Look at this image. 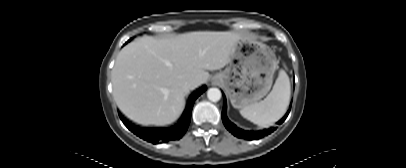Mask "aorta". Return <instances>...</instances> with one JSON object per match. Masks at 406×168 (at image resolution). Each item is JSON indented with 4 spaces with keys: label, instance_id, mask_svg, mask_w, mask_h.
Returning a JSON list of instances; mask_svg holds the SVG:
<instances>
[{
    "label": "aorta",
    "instance_id": "obj_1",
    "mask_svg": "<svg viewBox=\"0 0 406 168\" xmlns=\"http://www.w3.org/2000/svg\"><path fill=\"white\" fill-rule=\"evenodd\" d=\"M207 97L212 102H217L221 98V91L218 88H210L207 91Z\"/></svg>",
    "mask_w": 406,
    "mask_h": 168
}]
</instances>
